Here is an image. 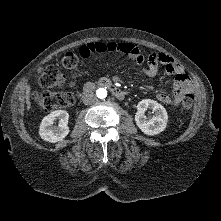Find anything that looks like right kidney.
Instances as JSON below:
<instances>
[{
  "mask_svg": "<svg viewBox=\"0 0 221 221\" xmlns=\"http://www.w3.org/2000/svg\"><path fill=\"white\" fill-rule=\"evenodd\" d=\"M58 126H53L55 121ZM69 114L65 110H56L45 116L40 124L39 135L48 142L55 143L63 140L69 133Z\"/></svg>",
  "mask_w": 221,
  "mask_h": 221,
  "instance_id": "obj_1",
  "label": "right kidney"
}]
</instances>
